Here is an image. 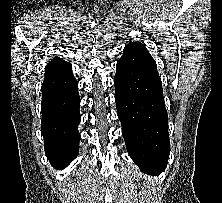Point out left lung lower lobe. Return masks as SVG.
<instances>
[{
	"mask_svg": "<svg viewBox=\"0 0 222 203\" xmlns=\"http://www.w3.org/2000/svg\"><path fill=\"white\" fill-rule=\"evenodd\" d=\"M127 151L142 172L161 173L170 153L168 116L156 62L140 42L125 46L114 78Z\"/></svg>",
	"mask_w": 222,
	"mask_h": 203,
	"instance_id": "1",
	"label": "left lung lower lobe"
}]
</instances>
